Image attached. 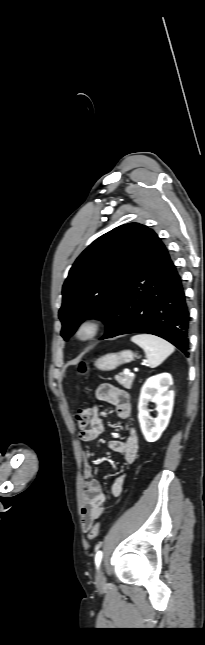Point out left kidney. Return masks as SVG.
Instances as JSON below:
<instances>
[{"mask_svg":"<svg viewBox=\"0 0 205 645\" xmlns=\"http://www.w3.org/2000/svg\"><path fill=\"white\" fill-rule=\"evenodd\" d=\"M172 384V376L162 373L148 378L141 389L138 419L141 431L148 442L157 441L169 423L174 404V391L170 390ZM150 401L156 404L158 412L154 419L149 414Z\"/></svg>","mask_w":205,"mask_h":645,"instance_id":"left-kidney-1","label":"left kidney"}]
</instances>
